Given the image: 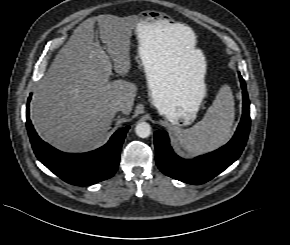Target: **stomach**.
<instances>
[{"label": "stomach", "instance_id": "0dacf381", "mask_svg": "<svg viewBox=\"0 0 290 245\" xmlns=\"http://www.w3.org/2000/svg\"><path fill=\"white\" fill-rule=\"evenodd\" d=\"M167 23L153 11L142 15L136 24L138 54L152 105L182 128L194 122L206 96V62L199 52L193 54L191 67L184 66L163 37Z\"/></svg>", "mask_w": 290, "mask_h": 245}]
</instances>
